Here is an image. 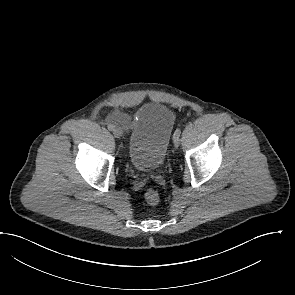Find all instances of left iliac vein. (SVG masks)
Returning <instances> with one entry per match:
<instances>
[{
	"label": "left iliac vein",
	"instance_id": "1",
	"mask_svg": "<svg viewBox=\"0 0 295 295\" xmlns=\"http://www.w3.org/2000/svg\"><path fill=\"white\" fill-rule=\"evenodd\" d=\"M174 146L177 148L179 146V138H173Z\"/></svg>",
	"mask_w": 295,
	"mask_h": 295
}]
</instances>
